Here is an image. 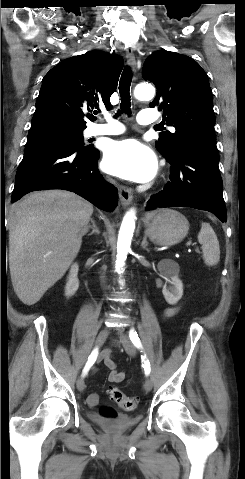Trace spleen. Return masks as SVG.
Returning <instances> with one entry per match:
<instances>
[{"label": "spleen", "instance_id": "3e777b00", "mask_svg": "<svg viewBox=\"0 0 245 479\" xmlns=\"http://www.w3.org/2000/svg\"><path fill=\"white\" fill-rule=\"evenodd\" d=\"M198 242L202 245L203 259L207 266H215L220 260V247L217 236L209 223L202 222L198 234Z\"/></svg>", "mask_w": 245, "mask_h": 479}]
</instances>
